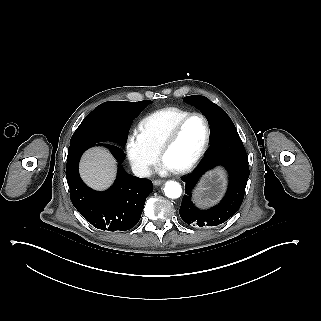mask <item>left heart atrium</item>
Returning a JSON list of instances; mask_svg holds the SVG:
<instances>
[{
  "mask_svg": "<svg viewBox=\"0 0 321 321\" xmlns=\"http://www.w3.org/2000/svg\"><path fill=\"white\" fill-rule=\"evenodd\" d=\"M174 170H176L175 167L166 158L161 159L158 164V171L161 174H166Z\"/></svg>",
  "mask_w": 321,
  "mask_h": 321,
  "instance_id": "left-heart-atrium-1",
  "label": "left heart atrium"
}]
</instances>
